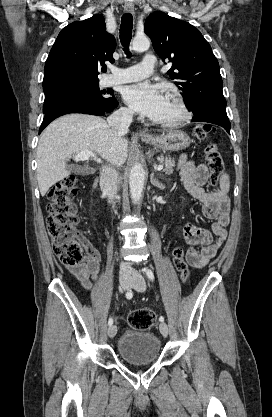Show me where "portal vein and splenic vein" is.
I'll return each instance as SVG.
<instances>
[{
	"instance_id": "1",
	"label": "portal vein and splenic vein",
	"mask_w": 272,
	"mask_h": 417,
	"mask_svg": "<svg viewBox=\"0 0 272 417\" xmlns=\"http://www.w3.org/2000/svg\"><path fill=\"white\" fill-rule=\"evenodd\" d=\"M90 158H93L97 163H102V160L97 158L96 154L89 150L82 151L74 156L76 161L89 160ZM155 169L157 171H161L163 169V165H158Z\"/></svg>"
}]
</instances>
